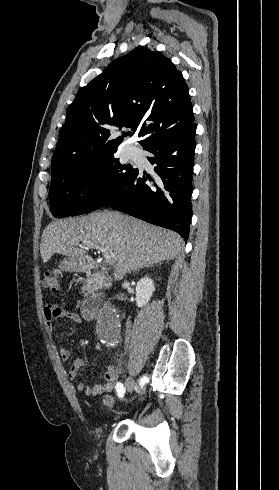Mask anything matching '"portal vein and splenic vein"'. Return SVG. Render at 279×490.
Returning a JSON list of instances; mask_svg holds the SVG:
<instances>
[{
  "mask_svg": "<svg viewBox=\"0 0 279 490\" xmlns=\"http://www.w3.org/2000/svg\"><path fill=\"white\" fill-rule=\"evenodd\" d=\"M86 248H96V250H100V246H96V244H88V242H84ZM102 252V250H101ZM105 262L108 266H113L115 262V256L112 252H107V256H105Z\"/></svg>",
  "mask_w": 279,
  "mask_h": 490,
  "instance_id": "1",
  "label": "portal vein and splenic vein"
}]
</instances>
